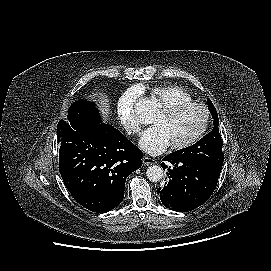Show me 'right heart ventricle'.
<instances>
[{"label":"right heart ventricle","instance_id":"1","mask_svg":"<svg viewBox=\"0 0 271 271\" xmlns=\"http://www.w3.org/2000/svg\"><path fill=\"white\" fill-rule=\"evenodd\" d=\"M149 91L151 99L156 101L160 108L176 103L192 101V97L188 92L174 85L154 86Z\"/></svg>","mask_w":271,"mask_h":271}]
</instances>
